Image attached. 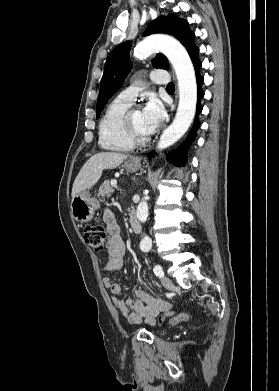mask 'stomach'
Segmentation results:
<instances>
[{
  "mask_svg": "<svg viewBox=\"0 0 279 391\" xmlns=\"http://www.w3.org/2000/svg\"><path fill=\"white\" fill-rule=\"evenodd\" d=\"M127 172H136L140 169L141 163L138 158H131L123 165ZM100 207V202L93 197L89 190H84L77 194L71 201V214L80 223L92 220L94 213Z\"/></svg>",
  "mask_w": 279,
  "mask_h": 391,
  "instance_id": "0dacf381",
  "label": "stomach"
}]
</instances>
